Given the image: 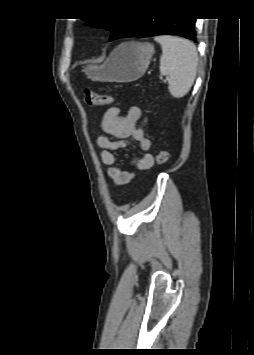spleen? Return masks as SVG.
<instances>
[{"label": "spleen", "mask_w": 254, "mask_h": 355, "mask_svg": "<svg viewBox=\"0 0 254 355\" xmlns=\"http://www.w3.org/2000/svg\"><path fill=\"white\" fill-rule=\"evenodd\" d=\"M161 44L160 73L169 76V92L175 98L184 97L191 89L198 65L196 46L189 40L175 36H157Z\"/></svg>", "instance_id": "1"}]
</instances>
